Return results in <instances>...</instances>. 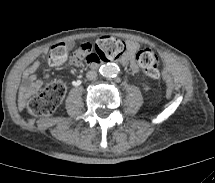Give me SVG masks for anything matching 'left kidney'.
<instances>
[{"label":"left kidney","instance_id":"left-kidney-1","mask_svg":"<svg viewBox=\"0 0 215 183\" xmlns=\"http://www.w3.org/2000/svg\"><path fill=\"white\" fill-rule=\"evenodd\" d=\"M144 89H145L146 91H148L150 88H149V86H145Z\"/></svg>","mask_w":215,"mask_h":183}]
</instances>
